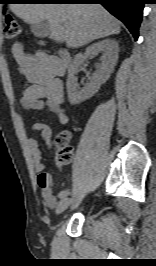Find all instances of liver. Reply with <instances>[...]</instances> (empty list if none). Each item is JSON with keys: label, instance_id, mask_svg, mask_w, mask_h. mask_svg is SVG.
Segmentation results:
<instances>
[{"label": "liver", "instance_id": "obj_1", "mask_svg": "<svg viewBox=\"0 0 156 266\" xmlns=\"http://www.w3.org/2000/svg\"><path fill=\"white\" fill-rule=\"evenodd\" d=\"M10 10L31 25L46 21L50 39L71 48L121 31L119 21L99 4H11Z\"/></svg>", "mask_w": 156, "mask_h": 266}]
</instances>
